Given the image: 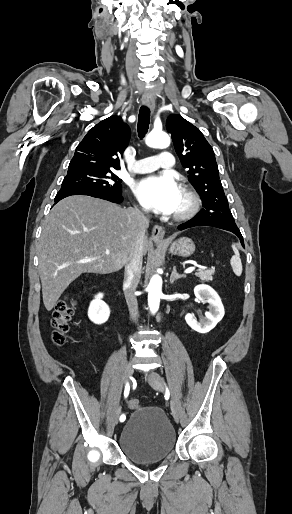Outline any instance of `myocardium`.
Instances as JSON below:
<instances>
[{
  "label": "myocardium",
  "instance_id": "myocardium-1",
  "mask_svg": "<svg viewBox=\"0 0 292 514\" xmlns=\"http://www.w3.org/2000/svg\"><path fill=\"white\" fill-rule=\"evenodd\" d=\"M181 194L185 204L181 210L174 211L173 215L176 219L183 220L193 216L199 207V198L197 194L189 188H182Z\"/></svg>",
  "mask_w": 292,
  "mask_h": 514
}]
</instances>
